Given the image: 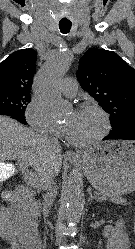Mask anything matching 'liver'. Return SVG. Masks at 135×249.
Masks as SVG:
<instances>
[{"label": "liver", "mask_w": 135, "mask_h": 249, "mask_svg": "<svg viewBox=\"0 0 135 249\" xmlns=\"http://www.w3.org/2000/svg\"><path fill=\"white\" fill-rule=\"evenodd\" d=\"M16 159L32 166L38 178V188L41 177L47 174L57 176L62 166L61 149H55L45 138L16 120L0 116V164ZM4 178H0V183Z\"/></svg>", "instance_id": "obj_1"}]
</instances>
